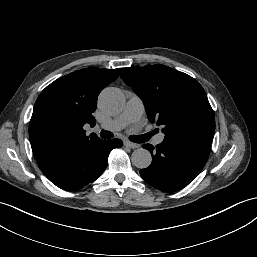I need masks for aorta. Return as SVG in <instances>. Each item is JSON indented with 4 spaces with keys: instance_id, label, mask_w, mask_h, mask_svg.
Listing matches in <instances>:
<instances>
[{
    "instance_id": "aorta-1",
    "label": "aorta",
    "mask_w": 257,
    "mask_h": 257,
    "mask_svg": "<svg viewBox=\"0 0 257 257\" xmlns=\"http://www.w3.org/2000/svg\"><path fill=\"white\" fill-rule=\"evenodd\" d=\"M99 105L107 113H118L122 111L125 106V98L120 90L116 88H106L99 96ZM131 160L135 167L144 169L150 166L152 157L148 150L138 148L132 153Z\"/></svg>"
}]
</instances>
